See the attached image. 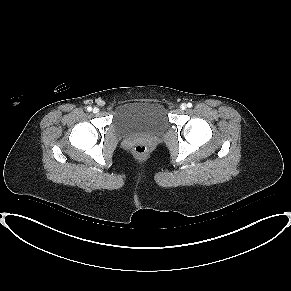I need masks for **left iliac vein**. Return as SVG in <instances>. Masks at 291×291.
I'll list each match as a JSON object with an SVG mask.
<instances>
[{"label":"left iliac vein","instance_id":"4c4485c4","mask_svg":"<svg viewBox=\"0 0 291 291\" xmlns=\"http://www.w3.org/2000/svg\"><path fill=\"white\" fill-rule=\"evenodd\" d=\"M180 108H181V110H185L187 108V105L185 103H182Z\"/></svg>","mask_w":291,"mask_h":291}]
</instances>
